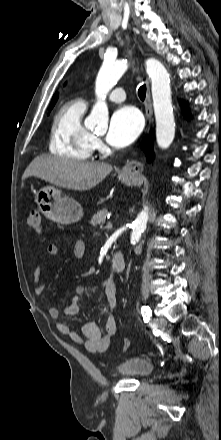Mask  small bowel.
<instances>
[{"mask_svg": "<svg viewBox=\"0 0 221 440\" xmlns=\"http://www.w3.org/2000/svg\"><path fill=\"white\" fill-rule=\"evenodd\" d=\"M85 243L78 239L74 245V258L80 261L85 256ZM47 253L50 258H57L59 256V248L56 244H49ZM49 270H43L38 266L33 272L34 291L37 294L43 292L44 280L48 276ZM103 293L105 295L110 314L105 323V333L102 335L98 326L92 322H86L82 327V335L75 332L66 322L57 321L56 328L63 334L68 336L74 343L82 345L89 352H104L110 346L111 341L117 332V322L114 316V310L117 306V287L113 276L109 275L100 283L91 286H77L74 289L72 299L65 307L64 314L67 317H72L78 314L82 304L92 295ZM49 315L52 319L59 318V310L56 307L49 309Z\"/></svg>", "mask_w": 221, "mask_h": 440, "instance_id": "obj_1", "label": "small bowel"}]
</instances>
